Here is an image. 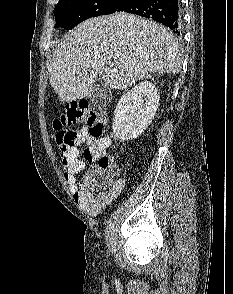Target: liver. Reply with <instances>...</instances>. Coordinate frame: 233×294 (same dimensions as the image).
I'll use <instances>...</instances> for the list:
<instances>
[{"label":"liver","instance_id":"6515ba94","mask_svg":"<svg viewBox=\"0 0 233 294\" xmlns=\"http://www.w3.org/2000/svg\"><path fill=\"white\" fill-rule=\"evenodd\" d=\"M181 67L178 44L165 27L115 13L71 30L53 51L48 72L60 101L68 103L90 95L98 76L110 89L126 90L148 74H176Z\"/></svg>","mask_w":233,"mask_h":294}]
</instances>
